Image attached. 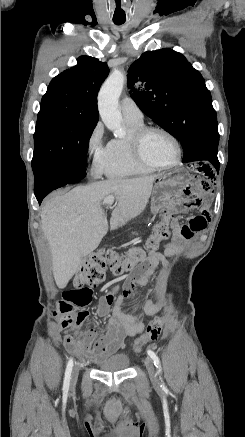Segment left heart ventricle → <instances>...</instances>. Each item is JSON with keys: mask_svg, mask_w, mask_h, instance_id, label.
<instances>
[{"mask_svg": "<svg viewBox=\"0 0 245 437\" xmlns=\"http://www.w3.org/2000/svg\"><path fill=\"white\" fill-rule=\"evenodd\" d=\"M142 153L147 160L160 165L171 164L176 158L173 142L157 131L145 135L142 140Z\"/></svg>", "mask_w": 245, "mask_h": 437, "instance_id": "left-heart-ventricle-1", "label": "left heart ventricle"}]
</instances>
